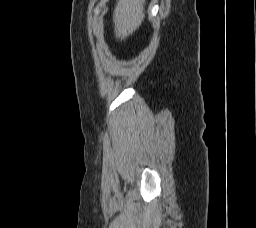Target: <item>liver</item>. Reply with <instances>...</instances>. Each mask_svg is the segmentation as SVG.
<instances>
[{"label":"liver","mask_w":256,"mask_h":228,"mask_svg":"<svg viewBox=\"0 0 256 228\" xmlns=\"http://www.w3.org/2000/svg\"><path fill=\"white\" fill-rule=\"evenodd\" d=\"M145 0H118L114 13L115 35L121 40L132 35L144 19Z\"/></svg>","instance_id":"liver-1"}]
</instances>
